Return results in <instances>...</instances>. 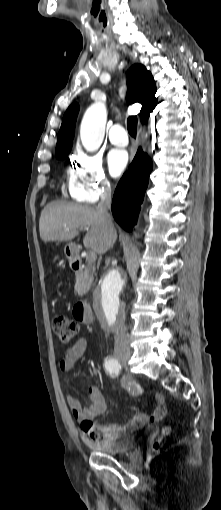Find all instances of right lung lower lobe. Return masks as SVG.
Masks as SVG:
<instances>
[{
    "label": "right lung lower lobe",
    "instance_id": "1",
    "mask_svg": "<svg viewBox=\"0 0 221 510\" xmlns=\"http://www.w3.org/2000/svg\"><path fill=\"white\" fill-rule=\"evenodd\" d=\"M152 167L148 155L139 148L115 190L112 213L119 225L127 231H131L136 224Z\"/></svg>",
    "mask_w": 221,
    "mask_h": 510
}]
</instances>
